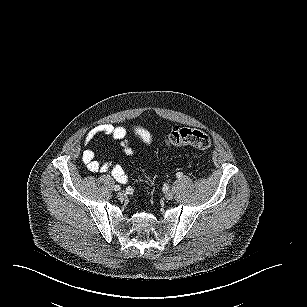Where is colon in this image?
Returning <instances> with one entry per match:
<instances>
[{
    "label": "colon",
    "mask_w": 307,
    "mask_h": 307,
    "mask_svg": "<svg viewBox=\"0 0 307 307\" xmlns=\"http://www.w3.org/2000/svg\"><path fill=\"white\" fill-rule=\"evenodd\" d=\"M165 144L167 146H191L200 150H207L211 147L212 141L210 136L201 130L177 128L167 136Z\"/></svg>",
    "instance_id": "1"
}]
</instances>
